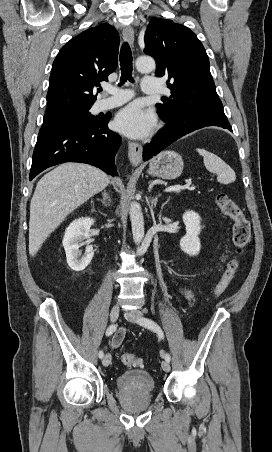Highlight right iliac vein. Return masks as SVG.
I'll use <instances>...</instances> for the list:
<instances>
[{"label":"right iliac vein","instance_id":"obj_1","mask_svg":"<svg viewBox=\"0 0 272 452\" xmlns=\"http://www.w3.org/2000/svg\"><path fill=\"white\" fill-rule=\"evenodd\" d=\"M119 313H120L119 306H117V305L113 306L110 311V320L112 322H115L119 317ZM110 363H111V355L109 353H107L102 360V364H103V366L107 367L110 365Z\"/></svg>","mask_w":272,"mask_h":452}]
</instances>
